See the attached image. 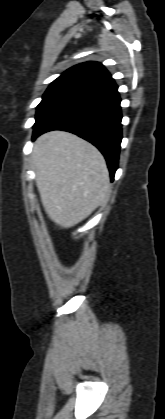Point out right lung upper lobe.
<instances>
[{"label":"right lung upper lobe","mask_w":165,"mask_h":419,"mask_svg":"<svg viewBox=\"0 0 165 419\" xmlns=\"http://www.w3.org/2000/svg\"><path fill=\"white\" fill-rule=\"evenodd\" d=\"M115 84L109 72L98 62L75 65L62 73L49 88H59L80 93L82 96L95 93Z\"/></svg>","instance_id":"right-lung-upper-lobe-1"}]
</instances>
